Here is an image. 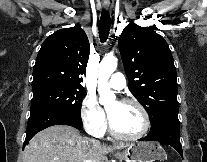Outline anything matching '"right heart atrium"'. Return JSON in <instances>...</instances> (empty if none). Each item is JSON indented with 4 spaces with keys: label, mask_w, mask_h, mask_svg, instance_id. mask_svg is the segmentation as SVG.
<instances>
[{
    "label": "right heart atrium",
    "mask_w": 207,
    "mask_h": 162,
    "mask_svg": "<svg viewBox=\"0 0 207 162\" xmlns=\"http://www.w3.org/2000/svg\"><path fill=\"white\" fill-rule=\"evenodd\" d=\"M80 117L84 127L91 134L101 136L106 131V117L94 95L88 94L83 99Z\"/></svg>",
    "instance_id": "obj_1"
}]
</instances>
